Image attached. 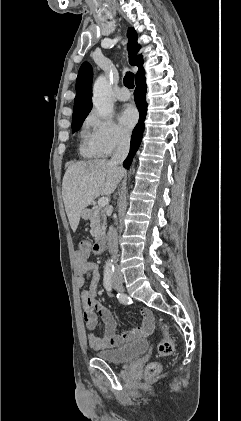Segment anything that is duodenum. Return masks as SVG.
Instances as JSON below:
<instances>
[{
    "label": "duodenum",
    "instance_id": "obj_1",
    "mask_svg": "<svg viewBox=\"0 0 241 421\" xmlns=\"http://www.w3.org/2000/svg\"><path fill=\"white\" fill-rule=\"evenodd\" d=\"M88 213V212H87ZM92 247L96 248V255H102L105 251V240L102 236L95 237Z\"/></svg>",
    "mask_w": 241,
    "mask_h": 421
}]
</instances>
